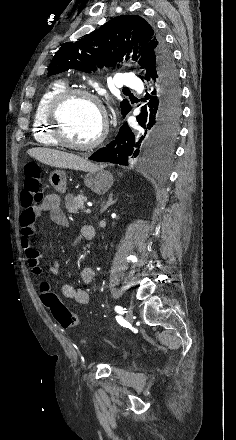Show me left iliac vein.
Instances as JSON below:
<instances>
[{
    "label": "left iliac vein",
    "instance_id": "1",
    "mask_svg": "<svg viewBox=\"0 0 236 440\" xmlns=\"http://www.w3.org/2000/svg\"><path fill=\"white\" fill-rule=\"evenodd\" d=\"M126 320L130 323V324H132L133 323V321H134V319H133V311H132V308L131 307H128L127 308V310H126Z\"/></svg>",
    "mask_w": 236,
    "mask_h": 440
}]
</instances>
